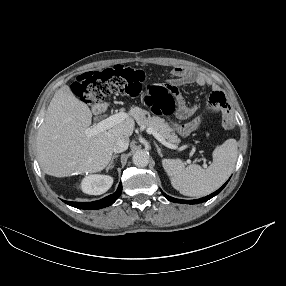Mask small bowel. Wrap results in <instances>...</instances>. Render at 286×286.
<instances>
[{"label":"small bowel","mask_w":286,"mask_h":286,"mask_svg":"<svg viewBox=\"0 0 286 286\" xmlns=\"http://www.w3.org/2000/svg\"><path fill=\"white\" fill-rule=\"evenodd\" d=\"M189 84L207 86L212 85V82L203 72L194 71L184 66H177L172 70V79L170 80L169 86L172 88V92L176 99V116L179 119L191 118L201 107L200 104L186 103L183 96L179 93V87ZM207 108L209 110L221 111L224 114L229 110L224 94L216 88H213V91L208 97Z\"/></svg>","instance_id":"1"}]
</instances>
